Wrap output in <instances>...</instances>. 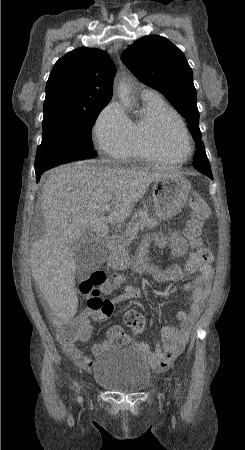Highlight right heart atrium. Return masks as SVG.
I'll return each mask as SVG.
<instances>
[{
	"mask_svg": "<svg viewBox=\"0 0 245 450\" xmlns=\"http://www.w3.org/2000/svg\"><path fill=\"white\" fill-rule=\"evenodd\" d=\"M93 139L99 151L108 158L124 161L132 148V121L123 107L110 102L100 112L94 126Z\"/></svg>",
	"mask_w": 245,
	"mask_h": 450,
	"instance_id": "1",
	"label": "right heart atrium"
}]
</instances>
